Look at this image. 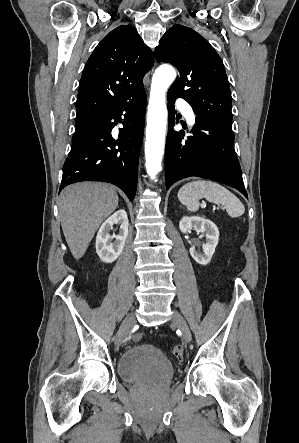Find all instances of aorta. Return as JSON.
Here are the masks:
<instances>
[{
	"label": "aorta",
	"instance_id": "762f6f07",
	"mask_svg": "<svg viewBox=\"0 0 299 443\" xmlns=\"http://www.w3.org/2000/svg\"><path fill=\"white\" fill-rule=\"evenodd\" d=\"M175 78L176 71L169 65L160 66L152 77L145 141V167L152 180L162 170L168 116L166 92Z\"/></svg>",
	"mask_w": 299,
	"mask_h": 443
}]
</instances>
